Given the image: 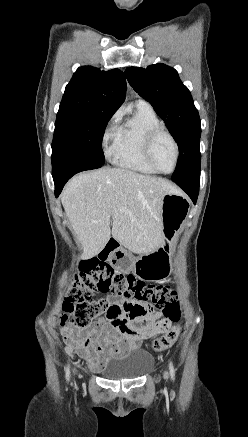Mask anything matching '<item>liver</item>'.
Returning <instances> with one entry per match:
<instances>
[{"instance_id":"liver-1","label":"liver","mask_w":248,"mask_h":437,"mask_svg":"<svg viewBox=\"0 0 248 437\" xmlns=\"http://www.w3.org/2000/svg\"><path fill=\"white\" fill-rule=\"evenodd\" d=\"M168 193L178 190L165 179L107 168L74 176L61 202L85 258L96 256L111 232L129 251L149 254L162 244V200Z\"/></svg>"}]
</instances>
